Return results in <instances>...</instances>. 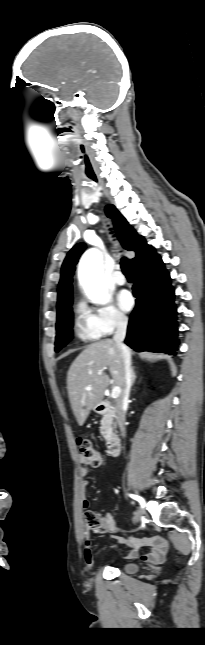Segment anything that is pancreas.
Listing matches in <instances>:
<instances>
[{
  "label": "pancreas",
  "instance_id": "obj_1",
  "mask_svg": "<svg viewBox=\"0 0 205 645\" xmlns=\"http://www.w3.org/2000/svg\"><path fill=\"white\" fill-rule=\"evenodd\" d=\"M112 417L110 415H104L101 420L100 433L105 440H109L112 435Z\"/></svg>",
  "mask_w": 205,
  "mask_h": 645
}]
</instances>
